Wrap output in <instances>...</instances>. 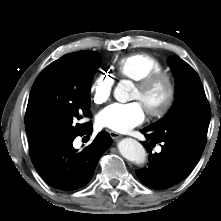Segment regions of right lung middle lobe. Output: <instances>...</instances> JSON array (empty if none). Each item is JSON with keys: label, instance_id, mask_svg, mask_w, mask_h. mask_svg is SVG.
Listing matches in <instances>:
<instances>
[{"label": "right lung middle lobe", "instance_id": "dd1d6c3e", "mask_svg": "<svg viewBox=\"0 0 221 221\" xmlns=\"http://www.w3.org/2000/svg\"><path fill=\"white\" fill-rule=\"evenodd\" d=\"M101 62L99 53L84 51L54 61L39 74L25 115L30 146L72 140L83 132L88 123L81 119L92 116L91 83Z\"/></svg>", "mask_w": 221, "mask_h": 221}]
</instances>
